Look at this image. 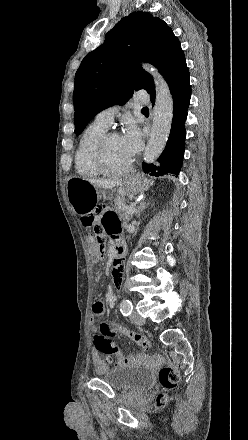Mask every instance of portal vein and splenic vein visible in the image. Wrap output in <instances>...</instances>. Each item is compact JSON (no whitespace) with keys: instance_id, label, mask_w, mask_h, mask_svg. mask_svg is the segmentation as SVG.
Returning <instances> with one entry per match:
<instances>
[{"instance_id":"portal-vein-and-splenic-vein-1","label":"portal vein and splenic vein","mask_w":248,"mask_h":440,"mask_svg":"<svg viewBox=\"0 0 248 440\" xmlns=\"http://www.w3.org/2000/svg\"><path fill=\"white\" fill-rule=\"evenodd\" d=\"M128 213L133 214L136 211V204H131L130 206H125Z\"/></svg>"}]
</instances>
